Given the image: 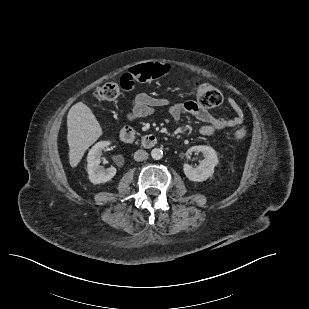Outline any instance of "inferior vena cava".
<instances>
[{
  "instance_id": "inferior-vena-cava-1",
  "label": "inferior vena cava",
  "mask_w": 309,
  "mask_h": 309,
  "mask_svg": "<svg viewBox=\"0 0 309 309\" xmlns=\"http://www.w3.org/2000/svg\"><path fill=\"white\" fill-rule=\"evenodd\" d=\"M147 158H148V153L144 150L140 149L134 153V160L137 162L146 160Z\"/></svg>"
}]
</instances>
